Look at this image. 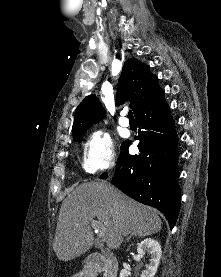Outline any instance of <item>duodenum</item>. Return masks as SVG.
<instances>
[{
  "mask_svg": "<svg viewBox=\"0 0 221 277\" xmlns=\"http://www.w3.org/2000/svg\"><path fill=\"white\" fill-rule=\"evenodd\" d=\"M118 268V261L115 257L94 253L85 259L82 274L84 277H95L98 272L104 271L106 277H117Z\"/></svg>",
  "mask_w": 221,
  "mask_h": 277,
  "instance_id": "obj_1",
  "label": "duodenum"
}]
</instances>
